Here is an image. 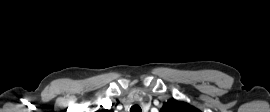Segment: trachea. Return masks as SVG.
Returning <instances> with one entry per match:
<instances>
[{
  "label": "trachea",
  "instance_id": "obj_1",
  "mask_svg": "<svg viewBox=\"0 0 270 112\" xmlns=\"http://www.w3.org/2000/svg\"><path fill=\"white\" fill-rule=\"evenodd\" d=\"M130 112H141V108L139 105H133L130 109Z\"/></svg>",
  "mask_w": 270,
  "mask_h": 112
}]
</instances>
